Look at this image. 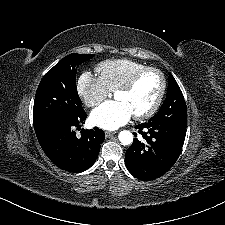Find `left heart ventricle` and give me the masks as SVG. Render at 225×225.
Instances as JSON below:
<instances>
[{"mask_svg":"<svg viewBox=\"0 0 225 225\" xmlns=\"http://www.w3.org/2000/svg\"><path fill=\"white\" fill-rule=\"evenodd\" d=\"M160 89V77L154 72L144 74L127 93L118 92L115 99L123 103L132 115L145 112L154 103Z\"/></svg>","mask_w":225,"mask_h":225,"instance_id":"left-heart-ventricle-1","label":"left heart ventricle"}]
</instances>
